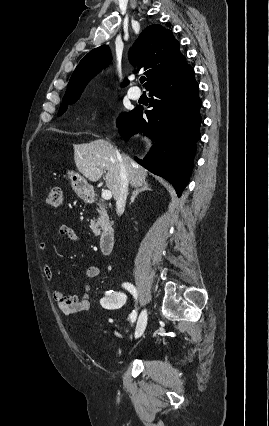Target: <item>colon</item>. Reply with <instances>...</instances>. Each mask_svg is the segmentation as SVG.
I'll return each mask as SVG.
<instances>
[{
    "instance_id": "obj_1",
    "label": "colon",
    "mask_w": 269,
    "mask_h": 426,
    "mask_svg": "<svg viewBox=\"0 0 269 426\" xmlns=\"http://www.w3.org/2000/svg\"><path fill=\"white\" fill-rule=\"evenodd\" d=\"M46 204L55 209L62 206V189L59 186H54L50 189L45 198Z\"/></svg>"
}]
</instances>
